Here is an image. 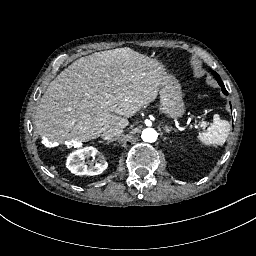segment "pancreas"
<instances>
[{"instance_id": "obj_1", "label": "pancreas", "mask_w": 256, "mask_h": 256, "mask_svg": "<svg viewBox=\"0 0 256 256\" xmlns=\"http://www.w3.org/2000/svg\"><path fill=\"white\" fill-rule=\"evenodd\" d=\"M202 125H203V126H206V122H202Z\"/></svg>"}]
</instances>
